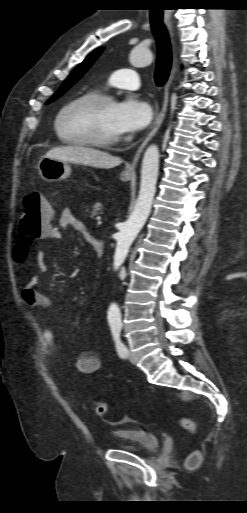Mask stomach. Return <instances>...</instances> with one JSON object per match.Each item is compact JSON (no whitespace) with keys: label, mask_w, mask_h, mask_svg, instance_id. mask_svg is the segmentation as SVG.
I'll list each match as a JSON object with an SVG mask.
<instances>
[{"label":"stomach","mask_w":247,"mask_h":513,"mask_svg":"<svg viewBox=\"0 0 247 513\" xmlns=\"http://www.w3.org/2000/svg\"><path fill=\"white\" fill-rule=\"evenodd\" d=\"M38 172L46 182H58L69 177L71 168L68 162L43 157L38 163ZM120 179L122 181H128L131 177L122 173Z\"/></svg>","instance_id":"obj_1"}]
</instances>
